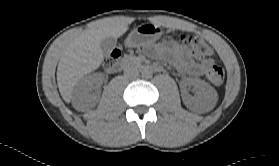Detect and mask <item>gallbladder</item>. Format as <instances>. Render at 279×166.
<instances>
[{"mask_svg": "<svg viewBox=\"0 0 279 166\" xmlns=\"http://www.w3.org/2000/svg\"><path fill=\"white\" fill-rule=\"evenodd\" d=\"M117 40L114 37H107L104 38L101 43L100 47L104 56H108L112 50L116 47Z\"/></svg>", "mask_w": 279, "mask_h": 166, "instance_id": "obj_1", "label": "gallbladder"}]
</instances>
